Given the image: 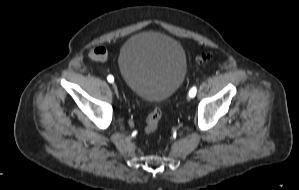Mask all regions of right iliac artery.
I'll return each instance as SVG.
<instances>
[{"instance_id": "82829eb1", "label": "right iliac artery", "mask_w": 299, "mask_h": 190, "mask_svg": "<svg viewBox=\"0 0 299 190\" xmlns=\"http://www.w3.org/2000/svg\"><path fill=\"white\" fill-rule=\"evenodd\" d=\"M107 80H108L110 83H112V82L114 81V77H113L112 75H109V76L107 77Z\"/></svg>"}]
</instances>
